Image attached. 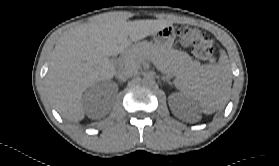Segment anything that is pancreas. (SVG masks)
<instances>
[{
	"instance_id": "cf45deb5",
	"label": "pancreas",
	"mask_w": 279,
	"mask_h": 166,
	"mask_svg": "<svg viewBox=\"0 0 279 166\" xmlns=\"http://www.w3.org/2000/svg\"><path fill=\"white\" fill-rule=\"evenodd\" d=\"M145 59L154 60L159 69L168 75H182L199 66L185 52L171 48H161L150 42L134 44L123 57V65L131 69H139Z\"/></svg>"
}]
</instances>
